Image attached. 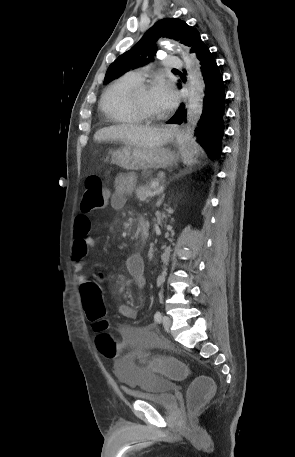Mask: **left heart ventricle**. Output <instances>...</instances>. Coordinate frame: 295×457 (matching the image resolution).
<instances>
[{
    "label": "left heart ventricle",
    "instance_id": "left-heart-ventricle-1",
    "mask_svg": "<svg viewBox=\"0 0 295 457\" xmlns=\"http://www.w3.org/2000/svg\"><path fill=\"white\" fill-rule=\"evenodd\" d=\"M139 103L147 113L158 115L163 112L153 98L152 89H146L140 93Z\"/></svg>",
    "mask_w": 295,
    "mask_h": 457
}]
</instances>
